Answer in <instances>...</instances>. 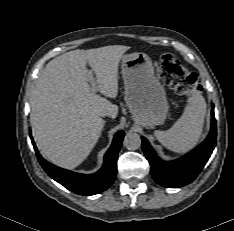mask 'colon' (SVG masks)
<instances>
[{
	"mask_svg": "<svg viewBox=\"0 0 234 231\" xmlns=\"http://www.w3.org/2000/svg\"><path fill=\"white\" fill-rule=\"evenodd\" d=\"M158 75L164 84L179 95L189 96L198 89L197 75L185 68L169 53L160 56Z\"/></svg>",
	"mask_w": 234,
	"mask_h": 231,
	"instance_id": "obj_1",
	"label": "colon"
}]
</instances>
